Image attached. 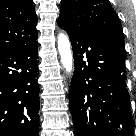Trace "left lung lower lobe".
<instances>
[{
  "instance_id": "left-lung-lower-lobe-1",
  "label": "left lung lower lobe",
  "mask_w": 136,
  "mask_h": 136,
  "mask_svg": "<svg viewBox=\"0 0 136 136\" xmlns=\"http://www.w3.org/2000/svg\"><path fill=\"white\" fill-rule=\"evenodd\" d=\"M67 33L75 60L69 94L74 136H132L124 43L102 34Z\"/></svg>"
}]
</instances>
